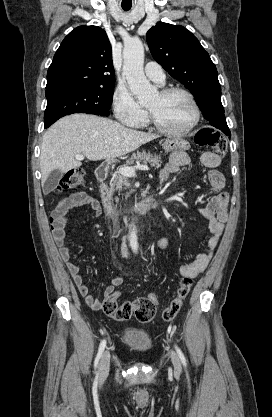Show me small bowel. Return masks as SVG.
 I'll list each match as a JSON object with an SVG mask.
<instances>
[{
  "label": "small bowel",
  "instance_id": "small-bowel-1",
  "mask_svg": "<svg viewBox=\"0 0 272 417\" xmlns=\"http://www.w3.org/2000/svg\"><path fill=\"white\" fill-rule=\"evenodd\" d=\"M189 162L190 158L184 152L172 154L169 161L160 171L161 182H166L172 174L177 173L181 167L188 165ZM199 162L209 169L207 178L213 191V196L205 206L198 208V213L208 221L211 235L207 240L208 251L195 255L188 263L180 267V274L191 279L201 274L209 265L228 219V195L222 191L225 186V178L222 172L217 169L222 163L221 158L215 153L204 152L199 156ZM81 206H88L96 214H99L101 211L99 201L84 191L71 193L62 198L52 214L55 226L54 239L59 246L60 258L65 263L79 293L84 297L85 302L91 309L99 311L103 307V300L91 295L89 286L84 283V276L79 265L70 261L71 248L64 243L66 236L64 228L67 222V214L70 210ZM122 282V272H119L106 286L104 297L107 298L112 295Z\"/></svg>",
  "mask_w": 272,
  "mask_h": 417
}]
</instances>
